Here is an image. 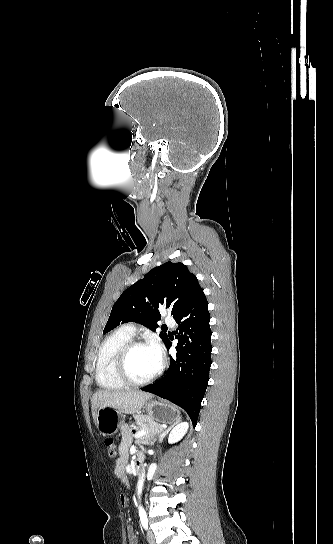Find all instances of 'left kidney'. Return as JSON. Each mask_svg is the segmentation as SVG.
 I'll use <instances>...</instances> for the list:
<instances>
[{
  "mask_svg": "<svg viewBox=\"0 0 333 544\" xmlns=\"http://www.w3.org/2000/svg\"><path fill=\"white\" fill-rule=\"evenodd\" d=\"M188 427L189 425L187 422L178 423L177 426L169 434L168 442L172 444L181 440L182 437L186 434Z\"/></svg>",
  "mask_w": 333,
  "mask_h": 544,
  "instance_id": "1",
  "label": "left kidney"
}]
</instances>
